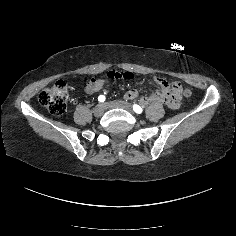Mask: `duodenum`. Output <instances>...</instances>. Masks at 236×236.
Wrapping results in <instances>:
<instances>
[{
  "mask_svg": "<svg viewBox=\"0 0 236 236\" xmlns=\"http://www.w3.org/2000/svg\"><path fill=\"white\" fill-rule=\"evenodd\" d=\"M157 102L165 103L170 108H176L179 103V97L175 91H171L169 86L164 83L160 84V91L158 93L141 100V103L144 106Z\"/></svg>",
  "mask_w": 236,
  "mask_h": 236,
  "instance_id": "1",
  "label": "duodenum"
}]
</instances>
